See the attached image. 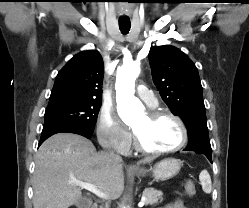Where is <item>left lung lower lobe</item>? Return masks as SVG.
<instances>
[{
    "mask_svg": "<svg viewBox=\"0 0 249 208\" xmlns=\"http://www.w3.org/2000/svg\"><path fill=\"white\" fill-rule=\"evenodd\" d=\"M186 151H194L199 154H204L209 161L212 163L211 158V145L210 142H206L203 140H195L192 142H189V145L185 148Z\"/></svg>",
    "mask_w": 249,
    "mask_h": 208,
    "instance_id": "1",
    "label": "left lung lower lobe"
}]
</instances>
